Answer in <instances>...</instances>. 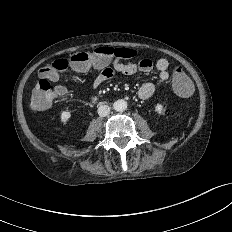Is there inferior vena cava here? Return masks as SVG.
<instances>
[{"instance_id":"obj_1","label":"inferior vena cava","mask_w":232,"mask_h":232,"mask_svg":"<svg viewBox=\"0 0 232 232\" xmlns=\"http://www.w3.org/2000/svg\"><path fill=\"white\" fill-rule=\"evenodd\" d=\"M98 115L101 117H105L107 115H109L110 113V107L108 105H100L98 107Z\"/></svg>"}]
</instances>
